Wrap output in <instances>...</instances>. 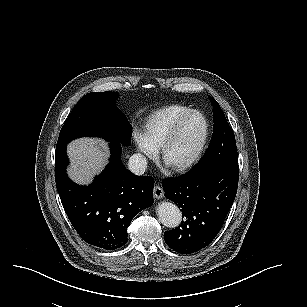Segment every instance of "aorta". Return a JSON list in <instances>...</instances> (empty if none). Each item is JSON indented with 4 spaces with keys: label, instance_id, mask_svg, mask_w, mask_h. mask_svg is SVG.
I'll use <instances>...</instances> for the list:
<instances>
[{
    "label": "aorta",
    "instance_id": "aorta-1",
    "mask_svg": "<svg viewBox=\"0 0 307 307\" xmlns=\"http://www.w3.org/2000/svg\"><path fill=\"white\" fill-rule=\"evenodd\" d=\"M156 214L160 222L168 228L179 226L182 220V212L171 202H160L156 207Z\"/></svg>",
    "mask_w": 307,
    "mask_h": 307
}]
</instances>
